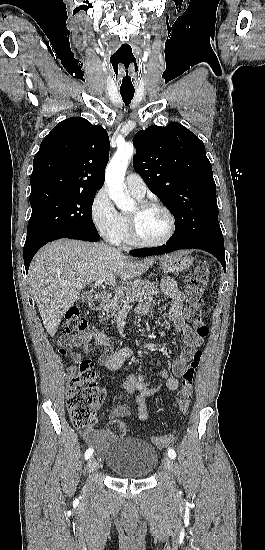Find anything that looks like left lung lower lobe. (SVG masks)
<instances>
[{"instance_id": "obj_1", "label": "left lung lower lobe", "mask_w": 265, "mask_h": 550, "mask_svg": "<svg viewBox=\"0 0 265 550\" xmlns=\"http://www.w3.org/2000/svg\"><path fill=\"white\" fill-rule=\"evenodd\" d=\"M201 249L207 251L214 255L223 266L224 271H226V262H225V253L224 250L216 249L209 245L196 244V243H170L157 248L151 249H141L131 253L132 256L142 257V256H152V255H161L164 253H169L179 249Z\"/></svg>"}]
</instances>
